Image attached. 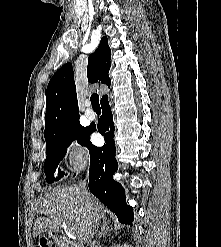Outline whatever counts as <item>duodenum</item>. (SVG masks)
<instances>
[{"label":"duodenum","instance_id":"1","mask_svg":"<svg viewBox=\"0 0 221 247\" xmlns=\"http://www.w3.org/2000/svg\"><path fill=\"white\" fill-rule=\"evenodd\" d=\"M52 238L55 241L57 245L60 247H76V244L74 242L69 241L65 236L59 232V231H54L52 232Z\"/></svg>","mask_w":221,"mask_h":247}]
</instances>
